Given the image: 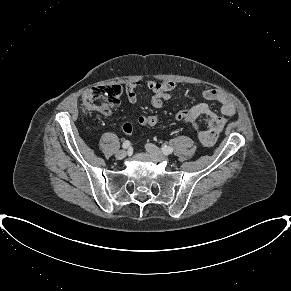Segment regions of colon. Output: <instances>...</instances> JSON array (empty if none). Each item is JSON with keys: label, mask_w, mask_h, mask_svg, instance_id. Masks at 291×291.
<instances>
[{"label": "colon", "mask_w": 291, "mask_h": 291, "mask_svg": "<svg viewBox=\"0 0 291 291\" xmlns=\"http://www.w3.org/2000/svg\"><path fill=\"white\" fill-rule=\"evenodd\" d=\"M122 95V88L119 85H102L86 90L81 99V108L84 113L92 111H104L116 107ZM175 119L189 122L198 130L197 119L192 117L189 109L180 110L175 114ZM141 125L154 127L162 123V119L157 115H147L139 118ZM123 131L126 134L132 132V126L125 124Z\"/></svg>", "instance_id": "5ec220e1"}]
</instances>
